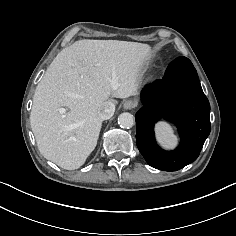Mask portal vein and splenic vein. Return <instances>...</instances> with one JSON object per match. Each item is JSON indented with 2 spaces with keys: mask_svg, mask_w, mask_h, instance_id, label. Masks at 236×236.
<instances>
[{
  "mask_svg": "<svg viewBox=\"0 0 236 236\" xmlns=\"http://www.w3.org/2000/svg\"><path fill=\"white\" fill-rule=\"evenodd\" d=\"M60 112H61V113H64V112H65V109H61Z\"/></svg>",
  "mask_w": 236,
  "mask_h": 236,
  "instance_id": "18ae733b",
  "label": "portal vein and splenic vein"
}]
</instances>
